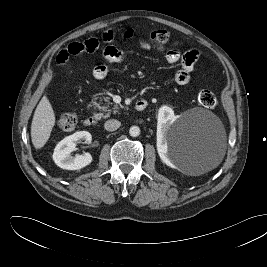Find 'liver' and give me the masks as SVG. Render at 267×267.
<instances>
[{
  "label": "liver",
  "mask_w": 267,
  "mask_h": 267,
  "mask_svg": "<svg viewBox=\"0 0 267 267\" xmlns=\"http://www.w3.org/2000/svg\"><path fill=\"white\" fill-rule=\"evenodd\" d=\"M54 125L55 114L52 105L48 98L43 96L35 109L31 124V139L36 149L46 144Z\"/></svg>",
  "instance_id": "liver-1"
}]
</instances>
